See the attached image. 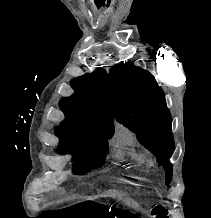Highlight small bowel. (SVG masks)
<instances>
[{
	"label": "small bowel",
	"mask_w": 211,
	"mask_h": 218,
	"mask_svg": "<svg viewBox=\"0 0 211 218\" xmlns=\"http://www.w3.org/2000/svg\"><path fill=\"white\" fill-rule=\"evenodd\" d=\"M54 194H60L62 193L61 189H56L55 191H53Z\"/></svg>",
	"instance_id": "small-bowel-1"
}]
</instances>
